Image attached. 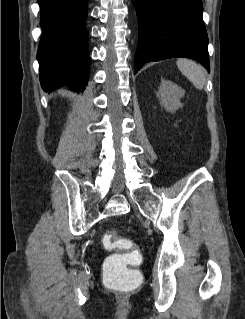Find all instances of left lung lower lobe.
<instances>
[{
  "mask_svg": "<svg viewBox=\"0 0 245 319\" xmlns=\"http://www.w3.org/2000/svg\"><path fill=\"white\" fill-rule=\"evenodd\" d=\"M139 24L136 72L147 62L188 57L210 71L202 0H135Z\"/></svg>",
  "mask_w": 245,
  "mask_h": 319,
  "instance_id": "0a47b994",
  "label": "left lung lower lobe"
}]
</instances>
